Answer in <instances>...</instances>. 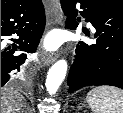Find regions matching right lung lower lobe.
<instances>
[{
    "label": "right lung lower lobe",
    "instance_id": "right-lung-lower-lobe-1",
    "mask_svg": "<svg viewBox=\"0 0 123 113\" xmlns=\"http://www.w3.org/2000/svg\"><path fill=\"white\" fill-rule=\"evenodd\" d=\"M45 27V11L41 0H20L10 8L1 10V41L17 34L12 47L1 46V87L10 79L12 71H19L26 54H15L18 49L34 52ZM12 74H15L13 72Z\"/></svg>",
    "mask_w": 123,
    "mask_h": 113
}]
</instances>
